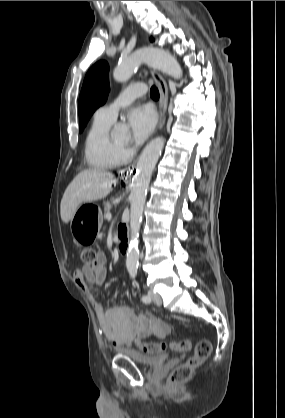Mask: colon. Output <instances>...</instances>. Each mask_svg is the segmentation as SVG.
Wrapping results in <instances>:
<instances>
[{
    "instance_id": "colon-1",
    "label": "colon",
    "mask_w": 285,
    "mask_h": 418,
    "mask_svg": "<svg viewBox=\"0 0 285 418\" xmlns=\"http://www.w3.org/2000/svg\"><path fill=\"white\" fill-rule=\"evenodd\" d=\"M96 250L90 247H86L81 251V260L84 264L90 265L96 259ZM134 346L146 353H159L167 349L174 352H184L190 348V342L188 340H181L175 342H145L139 339L134 341ZM212 349L210 340H200L193 351L191 357H189L184 363L180 364L174 369L170 376V385H177L188 380L194 371L208 358Z\"/></svg>"
}]
</instances>
